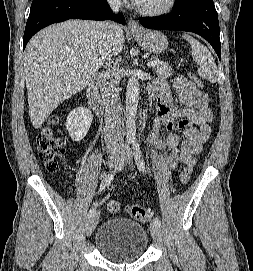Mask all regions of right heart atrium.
<instances>
[{
    "label": "right heart atrium",
    "mask_w": 253,
    "mask_h": 271,
    "mask_svg": "<svg viewBox=\"0 0 253 271\" xmlns=\"http://www.w3.org/2000/svg\"><path fill=\"white\" fill-rule=\"evenodd\" d=\"M111 3H114V4H119L121 2V0H109Z\"/></svg>",
    "instance_id": "right-heart-atrium-1"
}]
</instances>
